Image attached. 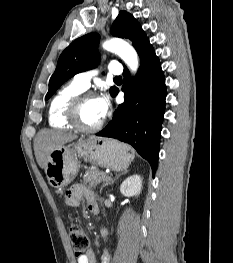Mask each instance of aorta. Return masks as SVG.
Masks as SVG:
<instances>
[{"mask_svg":"<svg viewBox=\"0 0 233 263\" xmlns=\"http://www.w3.org/2000/svg\"><path fill=\"white\" fill-rule=\"evenodd\" d=\"M103 48L107 51L118 54L121 59L130 67L132 71L138 68V55L135 49L121 39H110L103 43Z\"/></svg>","mask_w":233,"mask_h":263,"instance_id":"762f6f07","label":"aorta"}]
</instances>
